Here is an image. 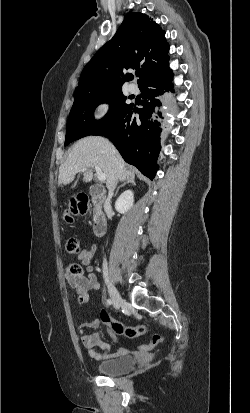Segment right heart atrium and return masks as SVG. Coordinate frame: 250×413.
Returning <instances> with one entry per match:
<instances>
[{"instance_id": "obj_1", "label": "right heart atrium", "mask_w": 250, "mask_h": 413, "mask_svg": "<svg viewBox=\"0 0 250 413\" xmlns=\"http://www.w3.org/2000/svg\"><path fill=\"white\" fill-rule=\"evenodd\" d=\"M111 109L112 104L109 100L103 99L99 101L94 107L93 119L98 122L105 120L110 114Z\"/></svg>"}]
</instances>
